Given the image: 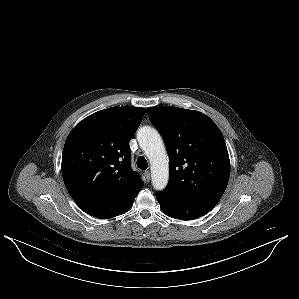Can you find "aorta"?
<instances>
[{"label":"aorta","instance_id":"1","mask_svg":"<svg viewBox=\"0 0 299 299\" xmlns=\"http://www.w3.org/2000/svg\"><path fill=\"white\" fill-rule=\"evenodd\" d=\"M137 140L150 161L154 189L157 191L165 189L169 180V166L160 134L150 126H143L138 130Z\"/></svg>","mask_w":299,"mask_h":299}]
</instances>
